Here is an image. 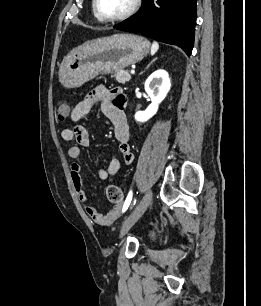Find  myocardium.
<instances>
[{"instance_id": "myocardium-1", "label": "myocardium", "mask_w": 261, "mask_h": 306, "mask_svg": "<svg viewBox=\"0 0 261 306\" xmlns=\"http://www.w3.org/2000/svg\"><path fill=\"white\" fill-rule=\"evenodd\" d=\"M142 0H134L131 7L123 14L115 17H107L104 16L98 7V0H93V11L97 19L103 22H119L128 19L132 15H134L137 10L140 8Z\"/></svg>"}]
</instances>
